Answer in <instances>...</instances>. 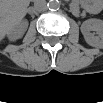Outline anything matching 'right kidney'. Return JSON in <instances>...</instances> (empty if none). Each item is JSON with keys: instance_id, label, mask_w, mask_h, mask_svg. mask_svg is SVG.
I'll use <instances>...</instances> for the list:
<instances>
[{"instance_id": "1", "label": "right kidney", "mask_w": 103, "mask_h": 103, "mask_svg": "<svg viewBox=\"0 0 103 103\" xmlns=\"http://www.w3.org/2000/svg\"><path fill=\"white\" fill-rule=\"evenodd\" d=\"M25 31H26V25L19 24L13 29L12 32L9 33V37L11 40L19 39L23 36Z\"/></svg>"}]
</instances>
